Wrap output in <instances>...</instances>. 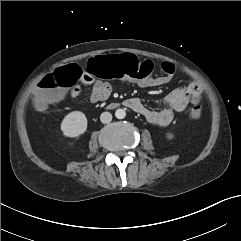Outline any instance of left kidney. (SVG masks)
Wrapping results in <instances>:
<instances>
[{
  "instance_id": "obj_1",
  "label": "left kidney",
  "mask_w": 241,
  "mask_h": 241,
  "mask_svg": "<svg viewBox=\"0 0 241 241\" xmlns=\"http://www.w3.org/2000/svg\"><path fill=\"white\" fill-rule=\"evenodd\" d=\"M166 138L169 139V140H171V139L174 138V135H173L172 133H167V134H166Z\"/></svg>"
}]
</instances>
